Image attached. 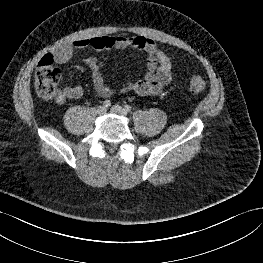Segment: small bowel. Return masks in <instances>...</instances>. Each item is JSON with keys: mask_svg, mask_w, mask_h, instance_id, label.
Here are the masks:
<instances>
[{"mask_svg": "<svg viewBox=\"0 0 263 263\" xmlns=\"http://www.w3.org/2000/svg\"><path fill=\"white\" fill-rule=\"evenodd\" d=\"M85 48L96 51L133 48L147 55V72L145 76L140 80L125 82L118 90L121 93L133 92L143 96L159 95L172 79L173 57L162 50L153 39L145 36L119 35L78 39L54 47L50 55L56 63L64 64L71 59L76 49ZM84 61L92 73V81L96 92L104 98L114 95L117 90L106 84L104 80L102 72L104 60L87 57ZM82 95V86H67L58 89L54 99L57 103H63L68 99H78Z\"/></svg>", "mask_w": 263, "mask_h": 263, "instance_id": "c3829d8e", "label": "small bowel"}]
</instances>
